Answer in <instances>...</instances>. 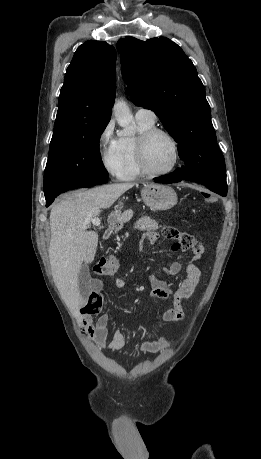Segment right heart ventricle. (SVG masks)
<instances>
[{
    "label": "right heart ventricle",
    "instance_id": "1",
    "mask_svg": "<svg viewBox=\"0 0 261 459\" xmlns=\"http://www.w3.org/2000/svg\"><path fill=\"white\" fill-rule=\"evenodd\" d=\"M155 127V121L136 119V136H123L118 139V149L122 162L118 177L122 180H132L142 175L137 163L136 141L144 131Z\"/></svg>",
    "mask_w": 261,
    "mask_h": 459
}]
</instances>
